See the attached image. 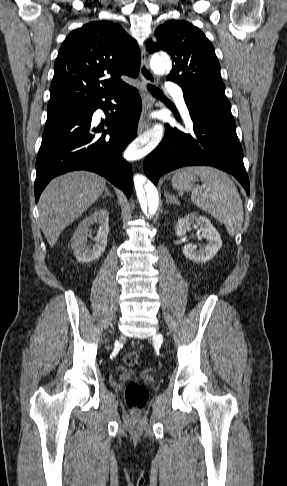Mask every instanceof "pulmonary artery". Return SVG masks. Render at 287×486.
I'll use <instances>...</instances> for the list:
<instances>
[{
    "label": "pulmonary artery",
    "mask_w": 287,
    "mask_h": 486,
    "mask_svg": "<svg viewBox=\"0 0 287 486\" xmlns=\"http://www.w3.org/2000/svg\"><path fill=\"white\" fill-rule=\"evenodd\" d=\"M166 90L170 93H173L175 95V98H176V101L179 105V107L183 110L184 113H188L187 111V107H186V104H185V101H184V97H183V92L181 90V88L176 85L175 83H172V82H168L165 86Z\"/></svg>",
    "instance_id": "1"
}]
</instances>
